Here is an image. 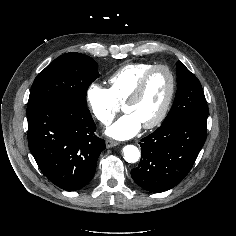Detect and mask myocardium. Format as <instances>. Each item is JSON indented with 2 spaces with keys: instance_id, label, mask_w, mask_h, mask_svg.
Returning a JSON list of instances; mask_svg holds the SVG:
<instances>
[{
  "instance_id": "1",
  "label": "myocardium",
  "mask_w": 236,
  "mask_h": 236,
  "mask_svg": "<svg viewBox=\"0 0 236 236\" xmlns=\"http://www.w3.org/2000/svg\"><path fill=\"white\" fill-rule=\"evenodd\" d=\"M157 70H164L168 77H169V91H168V95L167 98L165 100V103L160 111V113L158 114V116L151 122L144 124L143 127L145 129H152L155 128L157 126H159L164 119L166 118L169 109L171 107L174 95H175V90H176V79L174 76V73L172 72V70L164 64H157L154 65L153 67H151L150 69H148L143 76L141 77V79L139 80L138 84L136 85V87L134 88V90L132 91V93L129 95V97L126 99V101L124 102L123 108L125 109V107L131 103H134L135 101H137L140 96L142 95L145 86L150 78V76Z\"/></svg>"
}]
</instances>
